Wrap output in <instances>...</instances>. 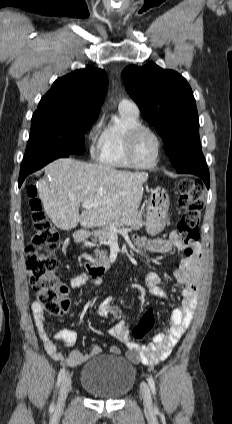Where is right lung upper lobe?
Instances as JSON below:
<instances>
[{
    "mask_svg": "<svg viewBox=\"0 0 232 424\" xmlns=\"http://www.w3.org/2000/svg\"><path fill=\"white\" fill-rule=\"evenodd\" d=\"M108 87L107 74L87 67L58 78L39 102L38 109L76 108L97 116Z\"/></svg>",
    "mask_w": 232,
    "mask_h": 424,
    "instance_id": "cb5924a9",
    "label": "right lung upper lobe"
}]
</instances>
